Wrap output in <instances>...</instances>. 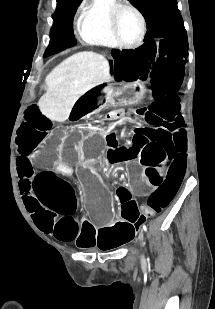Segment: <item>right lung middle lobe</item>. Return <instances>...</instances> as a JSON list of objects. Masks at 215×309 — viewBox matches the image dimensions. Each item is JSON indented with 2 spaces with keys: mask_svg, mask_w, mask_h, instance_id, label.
Returning <instances> with one entry per match:
<instances>
[{
  "mask_svg": "<svg viewBox=\"0 0 215 309\" xmlns=\"http://www.w3.org/2000/svg\"><path fill=\"white\" fill-rule=\"evenodd\" d=\"M82 0H57L53 15L54 24L50 32V44L44 56L58 53L77 44L73 35V18Z\"/></svg>",
  "mask_w": 215,
  "mask_h": 309,
  "instance_id": "right-lung-middle-lobe-1",
  "label": "right lung middle lobe"
}]
</instances>
